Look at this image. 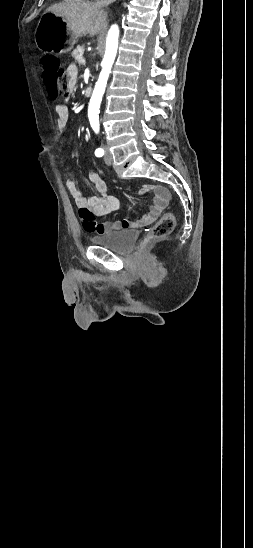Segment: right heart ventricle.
I'll use <instances>...</instances> for the list:
<instances>
[{
	"instance_id": "obj_1",
	"label": "right heart ventricle",
	"mask_w": 253,
	"mask_h": 548,
	"mask_svg": "<svg viewBox=\"0 0 253 548\" xmlns=\"http://www.w3.org/2000/svg\"><path fill=\"white\" fill-rule=\"evenodd\" d=\"M64 1H69V2H80V1H83V0H64Z\"/></svg>"
}]
</instances>
